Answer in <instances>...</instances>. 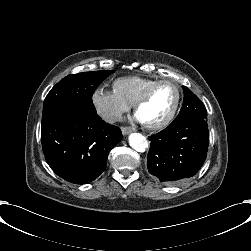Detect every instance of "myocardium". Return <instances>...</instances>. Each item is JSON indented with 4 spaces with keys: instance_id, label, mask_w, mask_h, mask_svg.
I'll return each mask as SVG.
<instances>
[{
    "instance_id": "obj_1",
    "label": "myocardium",
    "mask_w": 251,
    "mask_h": 251,
    "mask_svg": "<svg viewBox=\"0 0 251 251\" xmlns=\"http://www.w3.org/2000/svg\"><path fill=\"white\" fill-rule=\"evenodd\" d=\"M164 82H171L173 84H175V86L177 87L178 90V97H177V102L174 106V108L172 109V111L169 113V115L162 121L158 122V123H154V124H149V123H145L143 122V125L146 129L148 130H159V129H163L167 126H169L171 124V122L174 120L175 116L177 115L178 111L181 108L182 102H183V97H184V88L183 85L173 79H169V78H162V79H157L155 80L153 83H151L142 93V95L137 99V101L134 104V109L135 111L138 113L139 109L148 101V99L150 98L151 94L153 93V91L162 83Z\"/></svg>"
}]
</instances>
